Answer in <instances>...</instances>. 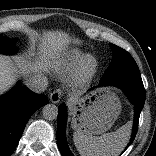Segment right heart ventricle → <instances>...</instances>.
<instances>
[{
    "label": "right heart ventricle",
    "instance_id": "1",
    "mask_svg": "<svg viewBox=\"0 0 156 156\" xmlns=\"http://www.w3.org/2000/svg\"><path fill=\"white\" fill-rule=\"evenodd\" d=\"M92 58L78 50L69 52L64 58L54 63V67L62 74H70L77 72L82 67L92 64Z\"/></svg>",
    "mask_w": 156,
    "mask_h": 156
}]
</instances>
